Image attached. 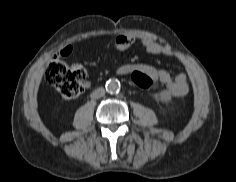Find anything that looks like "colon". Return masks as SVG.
<instances>
[{
	"instance_id": "colon-1",
	"label": "colon",
	"mask_w": 236,
	"mask_h": 182,
	"mask_svg": "<svg viewBox=\"0 0 236 182\" xmlns=\"http://www.w3.org/2000/svg\"><path fill=\"white\" fill-rule=\"evenodd\" d=\"M127 73L133 85L140 89H148L153 84L151 77L139 69H130ZM45 78L59 95L67 100L78 97L86 87L85 69L80 65L69 66L58 59L48 64Z\"/></svg>"
}]
</instances>
